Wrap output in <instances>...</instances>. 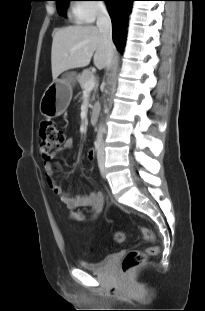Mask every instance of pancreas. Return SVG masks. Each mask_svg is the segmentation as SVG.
<instances>
[{
    "instance_id": "pancreas-1",
    "label": "pancreas",
    "mask_w": 205,
    "mask_h": 311,
    "mask_svg": "<svg viewBox=\"0 0 205 311\" xmlns=\"http://www.w3.org/2000/svg\"><path fill=\"white\" fill-rule=\"evenodd\" d=\"M93 77H94V74L90 70H84L80 75L77 76V80L81 88L84 89L86 82H88ZM93 99H94V96H93Z\"/></svg>"
}]
</instances>
